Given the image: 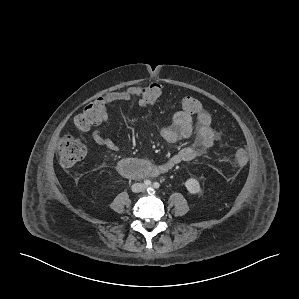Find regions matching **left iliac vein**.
Wrapping results in <instances>:
<instances>
[{
    "instance_id": "left-iliac-vein-1",
    "label": "left iliac vein",
    "mask_w": 299,
    "mask_h": 299,
    "mask_svg": "<svg viewBox=\"0 0 299 299\" xmlns=\"http://www.w3.org/2000/svg\"><path fill=\"white\" fill-rule=\"evenodd\" d=\"M148 189H149V190H152V188H151V187H149Z\"/></svg>"
}]
</instances>
